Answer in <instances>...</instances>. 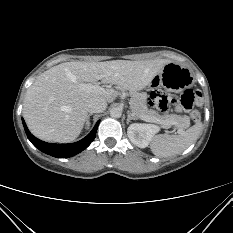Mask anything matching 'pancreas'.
Returning <instances> with one entry per match:
<instances>
[{
    "mask_svg": "<svg viewBox=\"0 0 233 233\" xmlns=\"http://www.w3.org/2000/svg\"><path fill=\"white\" fill-rule=\"evenodd\" d=\"M130 96L131 110L137 119H147L148 121L160 124L172 122V125H175L179 129H184L189 125L190 120L188 116L161 117L154 110L148 109L144 94L130 91Z\"/></svg>",
    "mask_w": 233,
    "mask_h": 233,
    "instance_id": "obj_1",
    "label": "pancreas"
}]
</instances>
